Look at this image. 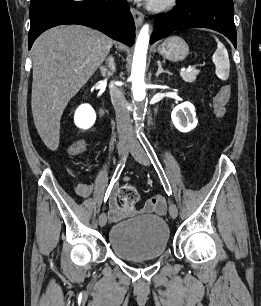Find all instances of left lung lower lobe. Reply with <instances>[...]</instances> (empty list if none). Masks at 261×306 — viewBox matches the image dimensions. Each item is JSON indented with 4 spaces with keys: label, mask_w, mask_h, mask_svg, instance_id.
Here are the masks:
<instances>
[{
    "label": "left lung lower lobe",
    "mask_w": 261,
    "mask_h": 306,
    "mask_svg": "<svg viewBox=\"0 0 261 306\" xmlns=\"http://www.w3.org/2000/svg\"><path fill=\"white\" fill-rule=\"evenodd\" d=\"M233 15L232 0H177L172 12L156 15L150 42L167 37L176 30L198 27L224 34L236 47Z\"/></svg>",
    "instance_id": "obj_1"
}]
</instances>
